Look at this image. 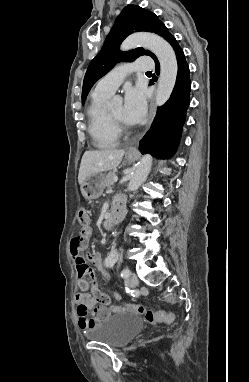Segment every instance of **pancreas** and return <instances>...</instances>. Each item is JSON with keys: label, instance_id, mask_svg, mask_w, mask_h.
<instances>
[{"label": "pancreas", "instance_id": "cf45deb5", "mask_svg": "<svg viewBox=\"0 0 249 382\" xmlns=\"http://www.w3.org/2000/svg\"><path fill=\"white\" fill-rule=\"evenodd\" d=\"M116 176V172L115 171H111L109 172L104 181H103V187L104 188H107V189H111L113 184H114V181H113V178Z\"/></svg>", "mask_w": 249, "mask_h": 382}]
</instances>
